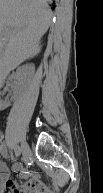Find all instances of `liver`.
<instances>
[{"instance_id":"6515ba94","label":"liver","mask_w":103,"mask_h":193,"mask_svg":"<svg viewBox=\"0 0 103 193\" xmlns=\"http://www.w3.org/2000/svg\"><path fill=\"white\" fill-rule=\"evenodd\" d=\"M52 13L47 0H0V74L5 79L25 60L41 51Z\"/></svg>"}]
</instances>
